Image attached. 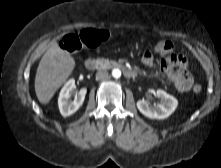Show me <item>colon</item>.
Instances as JSON below:
<instances>
[{
	"label": "colon",
	"instance_id": "colon-1",
	"mask_svg": "<svg viewBox=\"0 0 221 168\" xmlns=\"http://www.w3.org/2000/svg\"><path fill=\"white\" fill-rule=\"evenodd\" d=\"M108 38L109 32L107 30L85 29L79 34H68L64 36L60 41V45L68 52H76L84 45L90 47L96 46ZM155 50L160 54L168 56L170 53H173V44L169 40H162L156 44ZM192 89L195 93H199L201 86L195 84Z\"/></svg>",
	"mask_w": 221,
	"mask_h": 168
}]
</instances>
